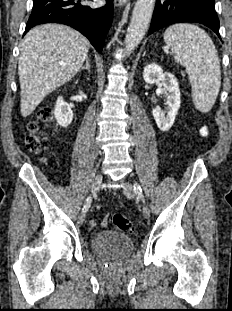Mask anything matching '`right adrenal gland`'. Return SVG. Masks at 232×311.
Instances as JSON below:
<instances>
[{"mask_svg":"<svg viewBox=\"0 0 232 311\" xmlns=\"http://www.w3.org/2000/svg\"><path fill=\"white\" fill-rule=\"evenodd\" d=\"M81 70H87L89 73L91 72V64L88 56L86 57V65L83 66L79 71Z\"/></svg>","mask_w":232,"mask_h":311,"instance_id":"1","label":"right adrenal gland"}]
</instances>
